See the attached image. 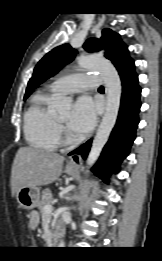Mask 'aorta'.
<instances>
[{
  "instance_id": "762f6f07",
  "label": "aorta",
  "mask_w": 162,
  "mask_h": 261,
  "mask_svg": "<svg viewBox=\"0 0 162 261\" xmlns=\"http://www.w3.org/2000/svg\"><path fill=\"white\" fill-rule=\"evenodd\" d=\"M78 65L87 70L98 71L105 83L106 93V111L98 127L92 147L87 158L88 170L98 159L103 147L107 143L112 129L116 124L120 108L122 86L121 80L115 67L106 59L98 56H82L78 58ZM71 98L64 97L55 103V108L59 112L69 110L71 107ZM64 241L59 243L64 247Z\"/></svg>"
}]
</instances>
